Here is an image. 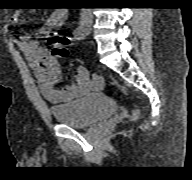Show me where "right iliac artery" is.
<instances>
[{
    "instance_id": "1",
    "label": "right iliac artery",
    "mask_w": 192,
    "mask_h": 180,
    "mask_svg": "<svg viewBox=\"0 0 192 180\" xmlns=\"http://www.w3.org/2000/svg\"><path fill=\"white\" fill-rule=\"evenodd\" d=\"M74 37L77 40H83L84 39V31L81 26L77 27L74 30Z\"/></svg>"
}]
</instances>
